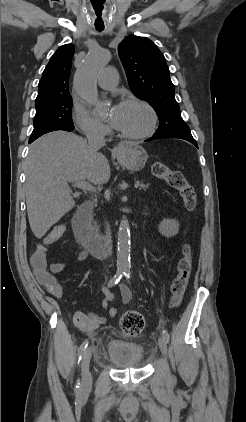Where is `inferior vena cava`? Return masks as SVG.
<instances>
[{
    "label": "inferior vena cava",
    "instance_id": "602c4592",
    "mask_svg": "<svg viewBox=\"0 0 246 422\" xmlns=\"http://www.w3.org/2000/svg\"><path fill=\"white\" fill-rule=\"evenodd\" d=\"M87 139L89 147L94 151L97 152L101 147L105 145V138L101 131L98 129H93L87 133ZM107 230L109 231V224L107 223ZM107 231V246L111 250V237L109 232Z\"/></svg>",
    "mask_w": 246,
    "mask_h": 422
}]
</instances>
